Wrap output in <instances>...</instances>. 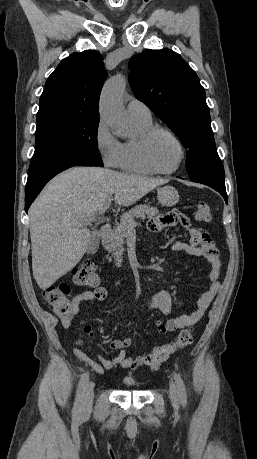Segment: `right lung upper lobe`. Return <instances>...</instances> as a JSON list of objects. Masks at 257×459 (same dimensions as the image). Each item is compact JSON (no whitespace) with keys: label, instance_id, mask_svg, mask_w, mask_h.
<instances>
[{"label":"right lung upper lobe","instance_id":"cb5924a9","mask_svg":"<svg viewBox=\"0 0 257 459\" xmlns=\"http://www.w3.org/2000/svg\"><path fill=\"white\" fill-rule=\"evenodd\" d=\"M101 54L86 50L63 59L49 76L39 111H68L99 117L97 105L107 77Z\"/></svg>","mask_w":257,"mask_h":459}]
</instances>
